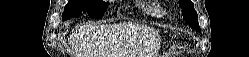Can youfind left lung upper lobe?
I'll return each instance as SVG.
<instances>
[{
    "mask_svg": "<svg viewBox=\"0 0 249 57\" xmlns=\"http://www.w3.org/2000/svg\"><path fill=\"white\" fill-rule=\"evenodd\" d=\"M179 4L182 8V14L184 15V20L192 28L200 31L198 24V15L194 9L193 3L190 0H179Z\"/></svg>",
    "mask_w": 249,
    "mask_h": 57,
    "instance_id": "left-lung-upper-lobe-1",
    "label": "left lung upper lobe"
}]
</instances>
